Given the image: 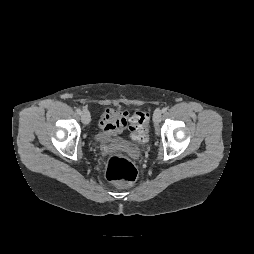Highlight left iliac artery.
Here are the masks:
<instances>
[{
    "label": "left iliac artery",
    "mask_w": 254,
    "mask_h": 254,
    "mask_svg": "<svg viewBox=\"0 0 254 254\" xmlns=\"http://www.w3.org/2000/svg\"><path fill=\"white\" fill-rule=\"evenodd\" d=\"M166 111H167V108L164 107V108L162 109V113H165Z\"/></svg>",
    "instance_id": "1"
}]
</instances>
